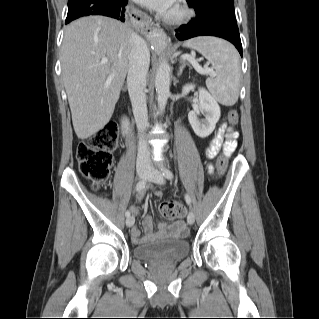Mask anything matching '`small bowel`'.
Returning <instances> with one entry per match:
<instances>
[{
	"label": "small bowel",
	"mask_w": 319,
	"mask_h": 319,
	"mask_svg": "<svg viewBox=\"0 0 319 319\" xmlns=\"http://www.w3.org/2000/svg\"><path fill=\"white\" fill-rule=\"evenodd\" d=\"M238 135V132L233 127H228L226 123H222L218 128L216 135L210 141V145L207 149V156L213 157L221 148H223L224 152L229 155L236 146V139L238 138ZM208 172L209 174L213 173V168L211 166L208 168ZM154 192L157 196L161 195L160 190H155ZM182 209V216H184L186 214V210L184 207H182ZM131 212L134 215H137L139 213V210L136 207H132ZM143 228L146 232L147 237H152L154 235L155 224L151 218L145 219V221L143 222ZM160 229L162 231L172 230L182 233L186 230V224L183 220H178L176 223L170 226L161 225ZM131 235L134 243L139 244L145 241V238L140 236V231L137 227H134L132 229Z\"/></svg>",
	"instance_id": "obj_1"
}]
</instances>
